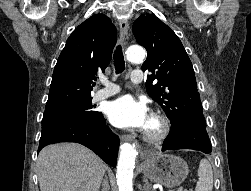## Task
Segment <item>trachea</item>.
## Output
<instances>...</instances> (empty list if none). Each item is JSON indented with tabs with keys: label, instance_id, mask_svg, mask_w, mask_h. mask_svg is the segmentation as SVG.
<instances>
[{
	"label": "trachea",
	"instance_id": "3493384b",
	"mask_svg": "<svg viewBox=\"0 0 251 191\" xmlns=\"http://www.w3.org/2000/svg\"><path fill=\"white\" fill-rule=\"evenodd\" d=\"M114 66L116 74L122 73L125 70L124 55L122 51V46L118 45L114 51L113 55Z\"/></svg>",
	"mask_w": 251,
	"mask_h": 191
}]
</instances>
